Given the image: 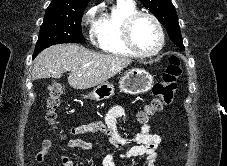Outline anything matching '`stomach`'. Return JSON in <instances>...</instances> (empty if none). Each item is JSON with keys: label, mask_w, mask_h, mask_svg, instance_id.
Listing matches in <instances>:
<instances>
[{"label": "stomach", "mask_w": 227, "mask_h": 166, "mask_svg": "<svg viewBox=\"0 0 227 166\" xmlns=\"http://www.w3.org/2000/svg\"><path fill=\"white\" fill-rule=\"evenodd\" d=\"M153 85V77L144 69L134 68L126 71L119 80L120 91L136 95L149 91ZM114 95V87L106 82L97 86L91 93L83 98L96 101L105 100Z\"/></svg>", "instance_id": "0dacf381"}]
</instances>
